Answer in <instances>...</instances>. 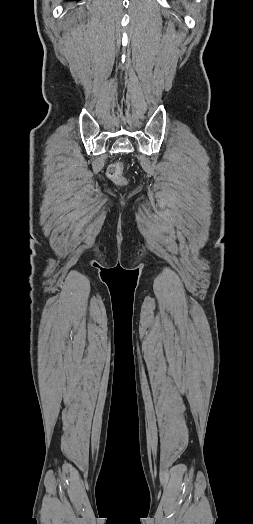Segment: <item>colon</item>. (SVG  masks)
I'll return each instance as SVG.
<instances>
[{
    "instance_id": "colon-1",
    "label": "colon",
    "mask_w": 253,
    "mask_h": 524,
    "mask_svg": "<svg viewBox=\"0 0 253 524\" xmlns=\"http://www.w3.org/2000/svg\"><path fill=\"white\" fill-rule=\"evenodd\" d=\"M107 176L117 184L121 185L125 183V178L120 163H112L107 169Z\"/></svg>"
}]
</instances>
